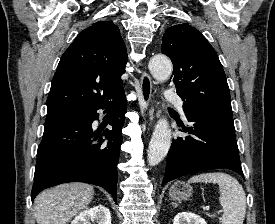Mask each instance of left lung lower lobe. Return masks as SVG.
Masks as SVG:
<instances>
[{
    "instance_id": "obj_1",
    "label": "left lung lower lobe",
    "mask_w": 275,
    "mask_h": 224,
    "mask_svg": "<svg viewBox=\"0 0 275 224\" xmlns=\"http://www.w3.org/2000/svg\"><path fill=\"white\" fill-rule=\"evenodd\" d=\"M185 114L189 135L173 139L162 184L197 171L226 168L243 174L233 118L210 113Z\"/></svg>"
}]
</instances>
